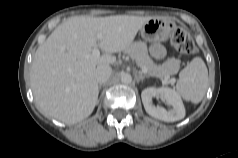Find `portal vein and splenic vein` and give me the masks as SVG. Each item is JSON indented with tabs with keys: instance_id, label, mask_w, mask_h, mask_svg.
Listing matches in <instances>:
<instances>
[{
	"instance_id": "1",
	"label": "portal vein and splenic vein",
	"mask_w": 238,
	"mask_h": 158,
	"mask_svg": "<svg viewBox=\"0 0 238 158\" xmlns=\"http://www.w3.org/2000/svg\"><path fill=\"white\" fill-rule=\"evenodd\" d=\"M97 38L99 40H101V39H103V35L101 33H98L97 34ZM92 56L95 57V58H98L100 56V51H99V49L97 47L93 48ZM142 72L146 74L147 73V69L145 67L142 68ZM170 82H172V83L175 82V79H172Z\"/></svg>"
}]
</instances>
